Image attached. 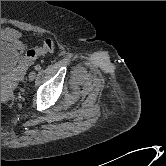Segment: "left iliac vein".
Here are the masks:
<instances>
[{
  "mask_svg": "<svg viewBox=\"0 0 166 166\" xmlns=\"http://www.w3.org/2000/svg\"><path fill=\"white\" fill-rule=\"evenodd\" d=\"M35 78H36V72L35 71L30 72L28 75V79L30 81H33Z\"/></svg>",
  "mask_w": 166,
  "mask_h": 166,
  "instance_id": "obj_1",
  "label": "left iliac vein"
}]
</instances>
